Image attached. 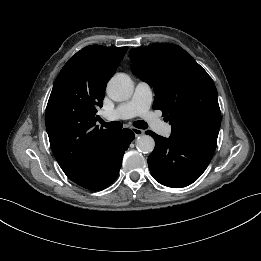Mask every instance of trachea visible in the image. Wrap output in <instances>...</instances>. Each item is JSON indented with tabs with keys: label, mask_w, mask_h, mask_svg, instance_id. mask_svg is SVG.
I'll list each match as a JSON object with an SVG mask.
<instances>
[{
	"label": "trachea",
	"mask_w": 261,
	"mask_h": 261,
	"mask_svg": "<svg viewBox=\"0 0 261 261\" xmlns=\"http://www.w3.org/2000/svg\"><path fill=\"white\" fill-rule=\"evenodd\" d=\"M100 123L104 127L109 128V129H121L122 128V123L119 121L104 122L103 120H101ZM133 125L139 129H146L148 127L147 123L142 120L135 121L133 123Z\"/></svg>",
	"instance_id": "trachea-1"
}]
</instances>
